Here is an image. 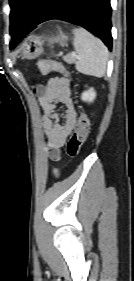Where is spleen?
Masks as SVG:
<instances>
[{"label": "spleen", "mask_w": 134, "mask_h": 281, "mask_svg": "<svg viewBox=\"0 0 134 281\" xmlns=\"http://www.w3.org/2000/svg\"><path fill=\"white\" fill-rule=\"evenodd\" d=\"M76 50V69L83 74L102 77L106 72L108 49L103 42L83 28L72 30Z\"/></svg>", "instance_id": "3e777b00"}]
</instances>
